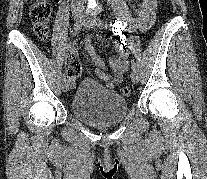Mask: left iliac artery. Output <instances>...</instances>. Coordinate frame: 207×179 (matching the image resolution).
Segmentation results:
<instances>
[{
	"instance_id": "left-iliac-artery-1",
	"label": "left iliac artery",
	"mask_w": 207,
	"mask_h": 179,
	"mask_svg": "<svg viewBox=\"0 0 207 179\" xmlns=\"http://www.w3.org/2000/svg\"><path fill=\"white\" fill-rule=\"evenodd\" d=\"M118 22H116V24H117ZM104 24V22L101 20V19H98V21L96 22V25H98V26H101V25H103ZM106 25V24H105ZM108 28H111V23H108ZM132 69H137V64H136V62L134 61V60H132Z\"/></svg>"
}]
</instances>
